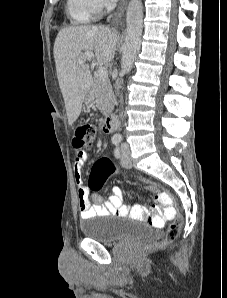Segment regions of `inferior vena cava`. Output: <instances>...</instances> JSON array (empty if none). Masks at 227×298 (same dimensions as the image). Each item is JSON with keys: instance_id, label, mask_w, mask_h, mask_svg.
I'll return each instance as SVG.
<instances>
[{"instance_id": "obj_1", "label": "inferior vena cava", "mask_w": 227, "mask_h": 298, "mask_svg": "<svg viewBox=\"0 0 227 298\" xmlns=\"http://www.w3.org/2000/svg\"><path fill=\"white\" fill-rule=\"evenodd\" d=\"M113 6H114V4L111 1H107V3H106V9L107 10L112 9ZM120 116L123 117V114L121 113Z\"/></svg>"}]
</instances>
